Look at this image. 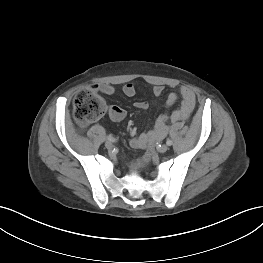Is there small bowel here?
<instances>
[{
  "mask_svg": "<svg viewBox=\"0 0 263 263\" xmlns=\"http://www.w3.org/2000/svg\"><path fill=\"white\" fill-rule=\"evenodd\" d=\"M93 89L100 91L106 95H112L115 92L114 87L110 84L94 85ZM122 91L127 97H132L136 93L135 86L132 83L124 85ZM163 91L164 87L161 85H156L153 87V94L156 98H159L162 95ZM179 97L181 98L180 107L173 111L170 117L166 115L159 116L153 130L133 137L130 140V145L132 148L141 149L146 147L152 140L162 138L166 134L167 121L169 119L172 122H177L189 118L196 104L195 94L188 87H180L178 92H171L167 96L166 104L168 106L173 105ZM134 105L138 110L141 111L146 110L149 106L148 102L146 101H138ZM125 114V111L119 106L112 105L108 108V115L114 122L121 121L125 117Z\"/></svg>",
  "mask_w": 263,
  "mask_h": 263,
  "instance_id": "obj_1",
  "label": "small bowel"
}]
</instances>
